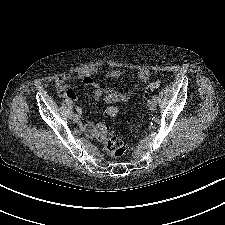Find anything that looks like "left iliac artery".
I'll use <instances>...</instances> for the list:
<instances>
[{
  "mask_svg": "<svg viewBox=\"0 0 225 225\" xmlns=\"http://www.w3.org/2000/svg\"><path fill=\"white\" fill-rule=\"evenodd\" d=\"M152 101H155V102L157 101V96L156 95L152 96Z\"/></svg>",
  "mask_w": 225,
  "mask_h": 225,
  "instance_id": "obj_1",
  "label": "left iliac artery"
}]
</instances>
